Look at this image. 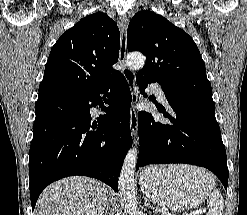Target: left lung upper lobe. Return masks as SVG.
Listing matches in <instances>:
<instances>
[{
    "mask_svg": "<svg viewBox=\"0 0 247 215\" xmlns=\"http://www.w3.org/2000/svg\"><path fill=\"white\" fill-rule=\"evenodd\" d=\"M127 48L146 63L139 73L168 91L212 100L211 84L197 45L182 29L149 10L135 14L127 30Z\"/></svg>",
    "mask_w": 247,
    "mask_h": 215,
    "instance_id": "left-lung-upper-lobe-1",
    "label": "left lung upper lobe"
}]
</instances>
